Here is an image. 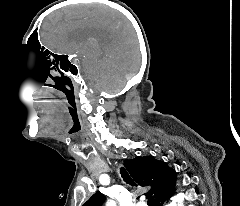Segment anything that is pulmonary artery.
<instances>
[{
	"label": "pulmonary artery",
	"mask_w": 240,
	"mask_h": 206,
	"mask_svg": "<svg viewBox=\"0 0 240 206\" xmlns=\"http://www.w3.org/2000/svg\"><path fill=\"white\" fill-rule=\"evenodd\" d=\"M136 206H146V205L143 203H138Z\"/></svg>",
	"instance_id": "pulmonary-artery-1"
}]
</instances>
